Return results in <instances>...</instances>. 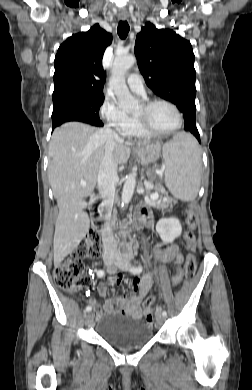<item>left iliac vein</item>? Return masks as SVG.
I'll list each match as a JSON object with an SVG mask.
<instances>
[{
	"instance_id": "obj_1",
	"label": "left iliac vein",
	"mask_w": 252,
	"mask_h": 390,
	"mask_svg": "<svg viewBox=\"0 0 252 390\" xmlns=\"http://www.w3.org/2000/svg\"><path fill=\"white\" fill-rule=\"evenodd\" d=\"M115 265L123 271H128L130 268L129 261H128L127 257H125L124 255L117 256L116 261H115ZM110 272L113 273L114 270H110ZM157 317H158L159 321L165 320V316L161 315L160 310L157 311Z\"/></svg>"
}]
</instances>
